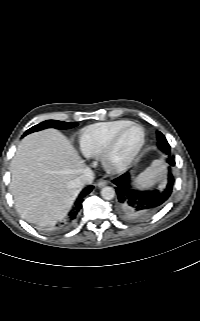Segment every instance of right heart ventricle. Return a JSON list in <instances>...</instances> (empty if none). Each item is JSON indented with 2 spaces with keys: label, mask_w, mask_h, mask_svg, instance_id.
Here are the masks:
<instances>
[{
  "label": "right heart ventricle",
  "mask_w": 200,
  "mask_h": 321,
  "mask_svg": "<svg viewBox=\"0 0 200 321\" xmlns=\"http://www.w3.org/2000/svg\"><path fill=\"white\" fill-rule=\"evenodd\" d=\"M130 122L129 120H114L95 123L83 128L79 134V146L82 153L87 157L100 156L113 136Z\"/></svg>",
  "instance_id": "right-heart-ventricle-1"
}]
</instances>
